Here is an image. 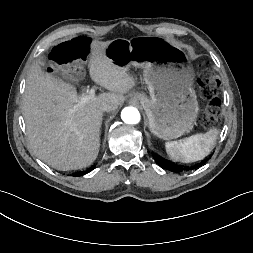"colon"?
Wrapping results in <instances>:
<instances>
[{
  "mask_svg": "<svg viewBox=\"0 0 253 253\" xmlns=\"http://www.w3.org/2000/svg\"><path fill=\"white\" fill-rule=\"evenodd\" d=\"M90 41L79 36L57 45L52 50V59L59 65H69L86 59L89 53ZM198 85L202 96L208 101L205 111L204 125L209 127L218 121L220 116V100L218 92L220 80L209 71H205L198 78Z\"/></svg>",
  "mask_w": 253,
  "mask_h": 253,
  "instance_id": "1",
  "label": "colon"
}]
</instances>
